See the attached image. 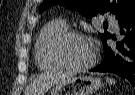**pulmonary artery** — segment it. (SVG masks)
<instances>
[{"label":"pulmonary artery","instance_id":"pulmonary-artery-1","mask_svg":"<svg viewBox=\"0 0 135 95\" xmlns=\"http://www.w3.org/2000/svg\"><path fill=\"white\" fill-rule=\"evenodd\" d=\"M113 26L115 27V29H117V23H113Z\"/></svg>","mask_w":135,"mask_h":95}]
</instances>
